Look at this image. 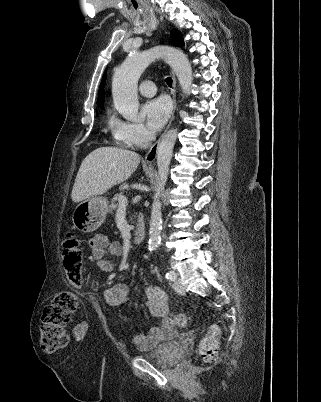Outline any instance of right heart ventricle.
<instances>
[{
    "label": "right heart ventricle",
    "mask_w": 321,
    "mask_h": 402,
    "mask_svg": "<svg viewBox=\"0 0 321 402\" xmlns=\"http://www.w3.org/2000/svg\"><path fill=\"white\" fill-rule=\"evenodd\" d=\"M126 122L117 119L113 115H109L107 118V125L109 129L113 132L115 139L121 145H128L125 139Z\"/></svg>",
    "instance_id": "1"
}]
</instances>
